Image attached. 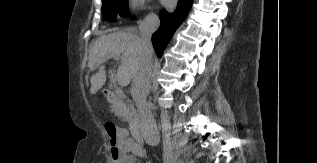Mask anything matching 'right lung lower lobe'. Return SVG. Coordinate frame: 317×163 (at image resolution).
<instances>
[{
	"label": "right lung lower lobe",
	"instance_id": "obj_1",
	"mask_svg": "<svg viewBox=\"0 0 317 163\" xmlns=\"http://www.w3.org/2000/svg\"><path fill=\"white\" fill-rule=\"evenodd\" d=\"M191 5L192 0H179L174 12H167L166 10L160 11L159 18L161 25L152 37L153 46L158 57L162 56L166 45L181 22L185 19Z\"/></svg>",
	"mask_w": 317,
	"mask_h": 163
}]
</instances>
